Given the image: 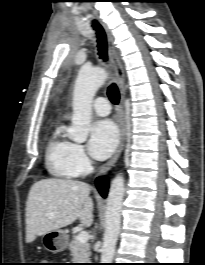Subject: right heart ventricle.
I'll return each instance as SVG.
<instances>
[{
  "instance_id": "obj_1",
  "label": "right heart ventricle",
  "mask_w": 205,
  "mask_h": 265,
  "mask_svg": "<svg viewBox=\"0 0 205 265\" xmlns=\"http://www.w3.org/2000/svg\"><path fill=\"white\" fill-rule=\"evenodd\" d=\"M72 145L64 136L62 126L52 131L45 148V164L52 176L64 179L77 176L70 164Z\"/></svg>"
}]
</instances>
